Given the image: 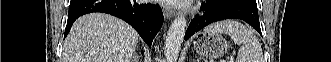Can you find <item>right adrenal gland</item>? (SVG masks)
<instances>
[{
  "label": "right adrenal gland",
  "mask_w": 331,
  "mask_h": 62,
  "mask_svg": "<svg viewBox=\"0 0 331 62\" xmlns=\"http://www.w3.org/2000/svg\"><path fill=\"white\" fill-rule=\"evenodd\" d=\"M132 62H139V57L136 53H134L132 56Z\"/></svg>",
  "instance_id": "obj_1"
}]
</instances>
